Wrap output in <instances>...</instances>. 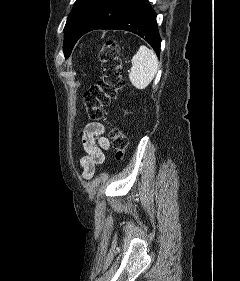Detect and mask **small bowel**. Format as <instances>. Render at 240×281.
Instances as JSON below:
<instances>
[{
	"instance_id": "c3829d8e",
	"label": "small bowel",
	"mask_w": 240,
	"mask_h": 281,
	"mask_svg": "<svg viewBox=\"0 0 240 281\" xmlns=\"http://www.w3.org/2000/svg\"><path fill=\"white\" fill-rule=\"evenodd\" d=\"M82 145L86 155L81 159L82 176L84 179H91L96 167L104 160V150L110 148V141L105 136V127L99 122L88 123L83 130Z\"/></svg>"
}]
</instances>
